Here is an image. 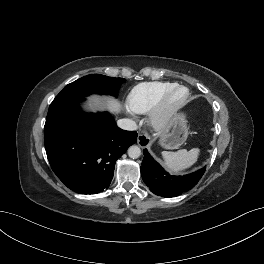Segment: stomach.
<instances>
[{"label":"stomach","mask_w":264,"mask_h":264,"mask_svg":"<svg viewBox=\"0 0 264 264\" xmlns=\"http://www.w3.org/2000/svg\"><path fill=\"white\" fill-rule=\"evenodd\" d=\"M188 137L187 120L183 113L177 114L170 122L168 129L161 135L160 144L166 149L182 146Z\"/></svg>","instance_id":"stomach-1"}]
</instances>
